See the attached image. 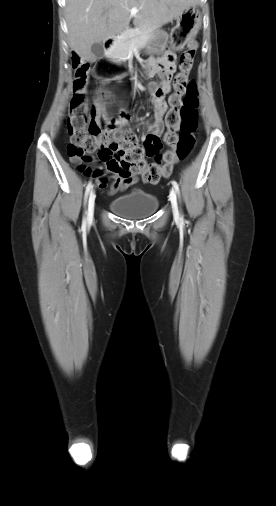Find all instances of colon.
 <instances>
[{
	"label": "colon",
	"mask_w": 276,
	"mask_h": 506,
	"mask_svg": "<svg viewBox=\"0 0 276 506\" xmlns=\"http://www.w3.org/2000/svg\"><path fill=\"white\" fill-rule=\"evenodd\" d=\"M197 42L191 41L188 49L178 61L179 72L173 79L174 92L169 97L170 109L166 113L167 126L163 135L164 142L170 147L156 162L147 163L146 157L161 148L160 136L147 134L142 143L138 142L135 133L118 128V124L125 118L119 108L118 98L128 88L127 82L105 84L104 93H112L114 101L103 107L90 106L84 90L88 83L89 65L81 62V52L70 50L69 62L75 71V85L78 93L70 101L65 126L70 141L67 145V155L73 166L85 175L97 176L104 169L105 163L115 157L120 159L124 170L139 174L146 183L156 184L161 177H169L173 167L185 160L195 146V133L198 127L197 88L188 75L192 69ZM111 51V50H110ZM83 60V59H82ZM101 64H107L109 57L101 55ZM98 77L104 78L111 74L105 65L96 68ZM124 77H135V72H124ZM162 91L157 89L153 97L160 96ZM97 154L98 161L95 169L87 163L93 154Z\"/></svg>",
	"instance_id": "1"
}]
</instances>
